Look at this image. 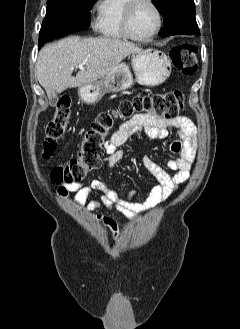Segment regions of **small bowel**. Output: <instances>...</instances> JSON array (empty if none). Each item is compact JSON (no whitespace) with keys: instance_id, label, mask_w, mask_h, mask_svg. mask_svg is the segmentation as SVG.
Segmentation results:
<instances>
[{"instance_id":"small-bowel-1","label":"small bowel","mask_w":240,"mask_h":329,"mask_svg":"<svg viewBox=\"0 0 240 329\" xmlns=\"http://www.w3.org/2000/svg\"><path fill=\"white\" fill-rule=\"evenodd\" d=\"M171 130H175L178 135L170 144L173 157L167 162V169L172 173L153 162L148 156L142 158L143 164L156 180L144 202L134 200L136 195L134 191L127 196H121L98 179L90 183L62 184L57 189L58 195L67 200L70 193H75L76 204H86L89 211L105 208L109 211L121 212L130 219L148 211L169 198L189 177L197 149L195 125L185 116L163 119L152 113L138 114L123 122L104 145L102 169L106 172L125 158L126 151L121 149V146L132 135L140 133L150 139L163 140L169 137ZM91 195H96L97 198L88 201ZM95 218L112 232L115 240L118 239L119 227L114 218L103 214H96Z\"/></svg>"}]
</instances>
